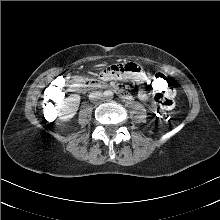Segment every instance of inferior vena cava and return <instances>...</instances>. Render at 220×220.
<instances>
[{
    "mask_svg": "<svg viewBox=\"0 0 220 220\" xmlns=\"http://www.w3.org/2000/svg\"><path fill=\"white\" fill-rule=\"evenodd\" d=\"M100 95H101L100 92H92V93L90 94V97H91V99H94V98L99 97Z\"/></svg>",
    "mask_w": 220,
    "mask_h": 220,
    "instance_id": "602c4592",
    "label": "inferior vena cava"
}]
</instances>
